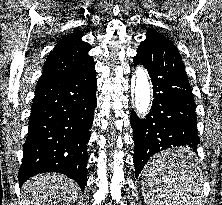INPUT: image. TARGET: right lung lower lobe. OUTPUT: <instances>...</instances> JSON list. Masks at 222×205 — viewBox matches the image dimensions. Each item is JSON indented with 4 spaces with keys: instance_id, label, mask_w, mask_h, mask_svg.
Returning a JSON list of instances; mask_svg holds the SVG:
<instances>
[{
    "instance_id": "98d812e1",
    "label": "right lung lower lobe",
    "mask_w": 222,
    "mask_h": 205,
    "mask_svg": "<svg viewBox=\"0 0 222 205\" xmlns=\"http://www.w3.org/2000/svg\"><path fill=\"white\" fill-rule=\"evenodd\" d=\"M95 65L82 73L38 81L19 169L20 186L43 172L87 181L89 128L96 108Z\"/></svg>"
}]
</instances>
